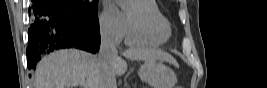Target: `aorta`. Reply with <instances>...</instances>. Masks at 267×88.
Masks as SVG:
<instances>
[{
	"label": "aorta",
	"instance_id": "762f6f07",
	"mask_svg": "<svg viewBox=\"0 0 267 88\" xmlns=\"http://www.w3.org/2000/svg\"><path fill=\"white\" fill-rule=\"evenodd\" d=\"M128 2V0H117V3L121 6H123L124 4H126Z\"/></svg>",
	"mask_w": 267,
	"mask_h": 88
}]
</instances>
